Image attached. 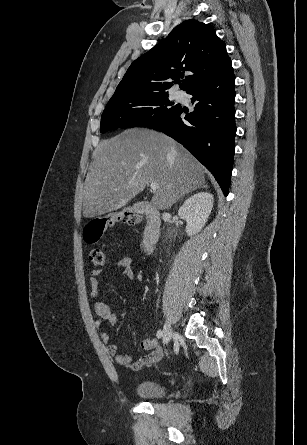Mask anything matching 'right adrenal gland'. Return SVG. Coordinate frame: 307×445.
I'll list each match as a JSON object with an SVG mask.
<instances>
[{
  "instance_id": "obj_1",
  "label": "right adrenal gland",
  "mask_w": 307,
  "mask_h": 445,
  "mask_svg": "<svg viewBox=\"0 0 307 445\" xmlns=\"http://www.w3.org/2000/svg\"><path fill=\"white\" fill-rule=\"evenodd\" d=\"M206 186H207V184H204V186H201V188H206ZM180 200H181V198H180Z\"/></svg>"
}]
</instances>
